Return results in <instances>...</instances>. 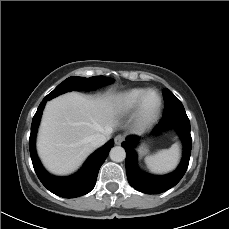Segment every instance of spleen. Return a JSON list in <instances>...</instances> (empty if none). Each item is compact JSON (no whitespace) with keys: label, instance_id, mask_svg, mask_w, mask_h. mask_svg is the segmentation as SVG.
I'll return each mask as SVG.
<instances>
[{"label":"spleen","instance_id":"1","mask_svg":"<svg viewBox=\"0 0 229 229\" xmlns=\"http://www.w3.org/2000/svg\"><path fill=\"white\" fill-rule=\"evenodd\" d=\"M180 158V146L173 144L169 149H162L145 158V163L153 173L162 174L173 170Z\"/></svg>","mask_w":229,"mask_h":229}]
</instances>
